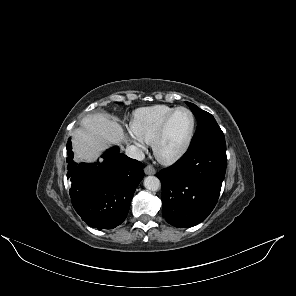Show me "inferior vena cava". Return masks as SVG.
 Instances as JSON below:
<instances>
[{
  "label": "inferior vena cava",
  "mask_w": 296,
  "mask_h": 296,
  "mask_svg": "<svg viewBox=\"0 0 296 296\" xmlns=\"http://www.w3.org/2000/svg\"><path fill=\"white\" fill-rule=\"evenodd\" d=\"M125 153L128 157L139 161H142L145 158L143 151L134 145L128 146L125 150Z\"/></svg>",
  "instance_id": "inferior-vena-cava-1"
}]
</instances>
